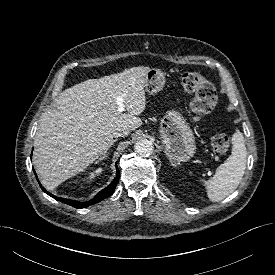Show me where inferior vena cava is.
Returning <instances> with one entry per match:
<instances>
[{
	"label": "inferior vena cava",
	"instance_id": "obj_1",
	"mask_svg": "<svg viewBox=\"0 0 275 275\" xmlns=\"http://www.w3.org/2000/svg\"><path fill=\"white\" fill-rule=\"evenodd\" d=\"M128 134H129L128 130L121 129L114 133V137H124V136H127Z\"/></svg>",
	"mask_w": 275,
	"mask_h": 275
}]
</instances>
